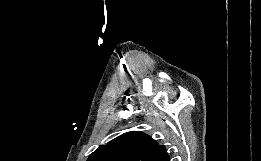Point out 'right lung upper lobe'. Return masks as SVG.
I'll use <instances>...</instances> for the list:
<instances>
[{
	"mask_svg": "<svg viewBox=\"0 0 261 161\" xmlns=\"http://www.w3.org/2000/svg\"><path fill=\"white\" fill-rule=\"evenodd\" d=\"M87 161H169L165 146L148 135L132 131L101 145Z\"/></svg>",
	"mask_w": 261,
	"mask_h": 161,
	"instance_id": "right-lung-upper-lobe-1",
	"label": "right lung upper lobe"
}]
</instances>
